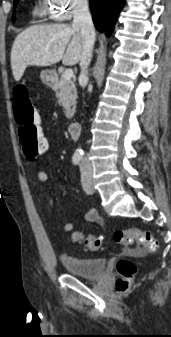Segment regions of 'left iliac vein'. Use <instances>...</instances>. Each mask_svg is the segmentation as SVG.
<instances>
[{"label": "left iliac vein", "mask_w": 171, "mask_h": 337, "mask_svg": "<svg viewBox=\"0 0 171 337\" xmlns=\"http://www.w3.org/2000/svg\"><path fill=\"white\" fill-rule=\"evenodd\" d=\"M81 182H82L83 190L87 194H92L94 192L93 179H92V174H91V168L90 167L86 166L82 170Z\"/></svg>", "instance_id": "4c4485c4"}]
</instances>
